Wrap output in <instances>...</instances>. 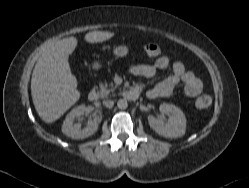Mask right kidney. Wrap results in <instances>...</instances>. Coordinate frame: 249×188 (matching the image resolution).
<instances>
[{"instance_id":"1","label":"right kidney","mask_w":249,"mask_h":188,"mask_svg":"<svg viewBox=\"0 0 249 188\" xmlns=\"http://www.w3.org/2000/svg\"><path fill=\"white\" fill-rule=\"evenodd\" d=\"M87 113L85 105H80L71 110L66 116L62 125V132L73 139H83L93 135L98 130V118L94 117L88 121L87 125L81 128V124H74L76 117L83 116Z\"/></svg>"}]
</instances>
